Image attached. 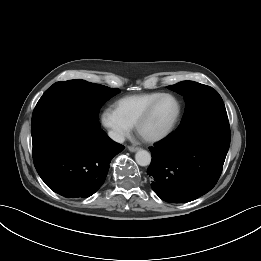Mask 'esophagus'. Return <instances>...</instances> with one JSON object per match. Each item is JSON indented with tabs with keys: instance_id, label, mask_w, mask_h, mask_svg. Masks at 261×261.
<instances>
[{
	"instance_id": "obj_1",
	"label": "esophagus",
	"mask_w": 261,
	"mask_h": 261,
	"mask_svg": "<svg viewBox=\"0 0 261 261\" xmlns=\"http://www.w3.org/2000/svg\"><path fill=\"white\" fill-rule=\"evenodd\" d=\"M140 148L139 147H135V146H129L128 147V150L130 151V152H136V151H138Z\"/></svg>"
}]
</instances>
